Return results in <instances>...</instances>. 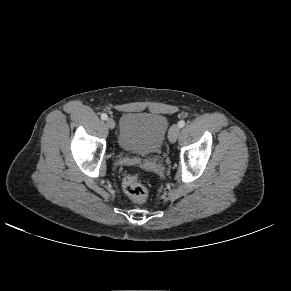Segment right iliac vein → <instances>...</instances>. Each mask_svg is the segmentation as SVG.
I'll list each match as a JSON object with an SVG mask.
<instances>
[{"mask_svg": "<svg viewBox=\"0 0 291 291\" xmlns=\"http://www.w3.org/2000/svg\"><path fill=\"white\" fill-rule=\"evenodd\" d=\"M106 125H107V127L110 128V129H114V128H115V122H114V120L111 119V118H108V119L106 120Z\"/></svg>", "mask_w": 291, "mask_h": 291, "instance_id": "1", "label": "right iliac vein"}]
</instances>
